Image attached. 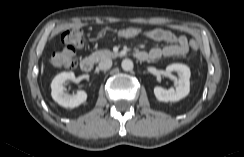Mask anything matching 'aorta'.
<instances>
[{
  "label": "aorta",
  "instance_id": "obj_1",
  "mask_svg": "<svg viewBox=\"0 0 244 157\" xmlns=\"http://www.w3.org/2000/svg\"><path fill=\"white\" fill-rule=\"evenodd\" d=\"M121 66L124 71H132L134 67L133 62L130 59H124Z\"/></svg>",
  "mask_w": 244,
  "mask_h": 157
}]
</instances>
